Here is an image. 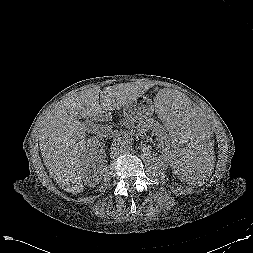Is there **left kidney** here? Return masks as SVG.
<instances>
[{
	"mask_svg": "<svg viewBox=\"0 0 253 253\" xmlns=\"http://www.w3.org/2000/svg\"><path fill=\"white\" fill-rule=\"evenodd\" d=\"M149 130H151L152 134L159 140V144L163 152L162 157L167 160L171 159L172 154L170 152V140L165 128L153 119H149L137 127V132L141 137H144L146 132ZM171 164L173 165V163Z\"/></svg>",
	"mask_w": 253,
	"mask_h": 253,
	"instance_id": "left-kidney-1",
	"label": "left kidney"
}]
</instances>
